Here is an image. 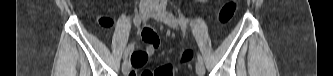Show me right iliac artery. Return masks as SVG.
<instances>
[{"instance_id": "right-iliac-artery-1", "label": "right iliac artery", "mask_w": 333, "mask_h": 76, "mask_svg": "<svg viewBox=\"0 0 333 76\" xmlns=\"http://www.w3.org/2000/svg\"><path fill=\"white\" fill-rule=\"evenodd\" d=\"M134 23H135V26L137 27L138 32H139L140 31V24H141V18L139 17V15L135 16ZM133 47H134V45L131 44L126 48V50L124 52L125 60L127 59L128 55H129L130 51L133 49Z\"/></svg>"}]
</instances>
